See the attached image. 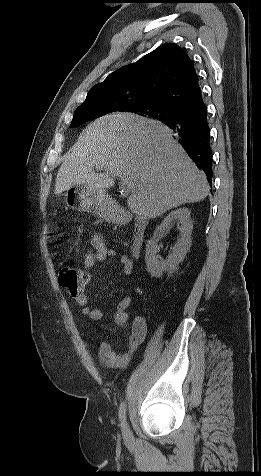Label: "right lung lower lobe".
Instances as JSON below:
<instances>
[{
  "mask_svg": "<svg viewBox=\"0 0 261 476\" xmlns=\"http://www.w3.org/2000/svg\"><path fill=\"white\" fill-rule=\"evenodd\" d=\"M175 134L190 158L212 179V152L207 107L201 97L195 104L180 109L177 115L161 121Z\"/></svg>",
  "mask_w": 261,
  "mask_h": 476,
  "instance_id": "98d812e1",
  "label": "right lung lower lobe"
}]
</instances>
